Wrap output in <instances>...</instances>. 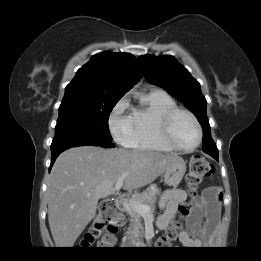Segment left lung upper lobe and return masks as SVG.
<instances>
[{
	"mask_svg": "<svg viewBox=\"0 0 261 261\" xmlns=\"http://www.w3.org/2000/svg\"><path fill=\"white\" fill-rule=\"evenodd\" d=\"M138 60L144 77L149 83L165 89L183 102L197 117L203 128V151L218 154L217 147L211 137L206 114L207 101L201 92L200 84L172 56L144 55L140 56Z\"/></svg>",
	"mask_w": 261,
	"mask_h": 261,
	"instance_id": "left-lung-upper-lobe-1",
	"label": "left lung upper lobe"
}]
</instances>
